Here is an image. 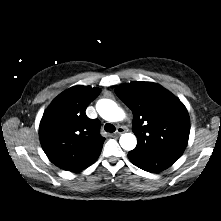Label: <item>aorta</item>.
<instances>
[{
  "mask_svg": "<svg viewBox=\"0 0 221 221\" xmlns=\"http://www.w3.org/2000/svg\"><path fill=\"white\" fill-rule=\"evenodd\" d=\"M96 109L99 115L106 121L117 122L125 117L124 111L110 99H101L96 104ZM121 147L124 150H133L137 145V139L132 133L122 134L119 140Z\"/></svg>",
  "mask_w": 221,
  "mask_h": 221,
  "instance_id": "obj_1",
  "label": "aorta"
}]
</instances>
